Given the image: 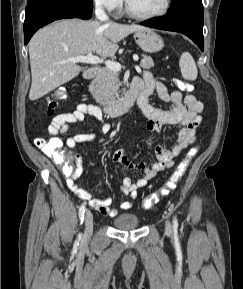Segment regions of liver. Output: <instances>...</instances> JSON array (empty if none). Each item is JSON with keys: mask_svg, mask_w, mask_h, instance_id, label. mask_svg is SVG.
Here are the masks:
<instances>
[{"mask_svg": "<svg viewBox=\"0 0 243 289\" xmlns=\"http://www.w3.org/2000/svg\"><path fill=\"white\" fill-rule=\"evenodd\" d=\"M143 29L140 25L77 19H63L39 29L29 42L32 75L29 99L37 100L78 76L81 67L68 61L69 57L92 52L112 57L119 41Z\"/></svg>", "mask_w": 243, "mask_h": 289, "instance_id": "obj_1", "label": "liver"}]
</instances>
